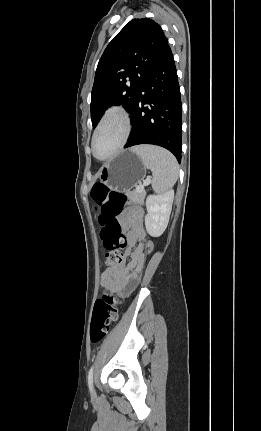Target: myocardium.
Segmentation results:
<instances>
[{"label":"myocardium","mask_w":261,"mask_h":431,"mask_svg":"<svg viewBox=\"0 0 261 431\" xmlns=\"http://www.w3.org/2000/svg\"><path fill=\"white\" fill-rule=\"evenodd\" d=\"M112 118H118L122 122V125H123L122 138H121L118 146L115 148V150L112 153H110L106 157L101 158L95 154V140H96L97 134L100 131V129L104 126V124L106 122H108ZM131 129H132L131 118L125 110H123L121 108H111V109L107 110L103 114V116L101 117V119L98 122L96 128L94 129V132L92 135L91 150H92L93 156L95 158H97L98 160H101V161H105V160L111 159L114 156H116L126 145L128 139H129L130 133H131Z\"/></svg>","instance_id":"myocardium-1"}]
</instances>
